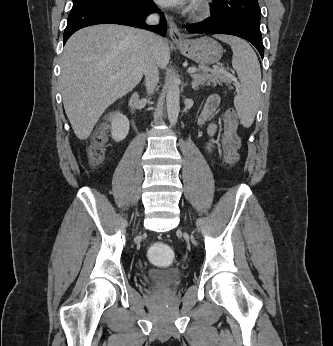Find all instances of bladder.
<instances>
[{"instance_id":"bladder-1","label":"bladder","mask_w":333,"mask_h":346,"mask_svg":"<svg viewBox=\"0 0 333 346\" xmlns=\"http://www.w3.org/2000/svg\"><path fill=\"white\" fill-rule=\"evenodd\" d=\"M147 277L151 282L167 287H177L183 280L182 273L177 269L151 270Z\"/></svg>"}]
</instances>
